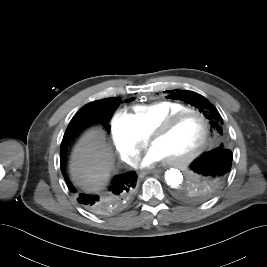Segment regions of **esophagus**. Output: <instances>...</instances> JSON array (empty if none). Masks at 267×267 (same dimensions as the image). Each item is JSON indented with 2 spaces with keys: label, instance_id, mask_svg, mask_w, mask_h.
<instances>
[{
  "label": "esophagus",
  "instance_id": "34e87169",
  "mask_svg": "<svg viewBox=\"0 0 267 267\" xmlns=\"http://www.w3.org/2000/svg\"><path fill=\"white\" fill-rule=\"evenodd\" d=\"M155 172V171H148V173ZM146 172H141L140 176H144Z\"/></svg>",
  "mask_w": 267,
  "mask_h": 267
}]
</instances>
